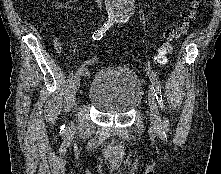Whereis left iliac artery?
<instances>
[{
	"label": "left iliac artery",
	"mask_w": 221,
	"mask_h": 174,
	"mask_svg": "<svg viewBox=\"0 0 221 174\" xmlns=\"http://www.w3.org/2000/svg\"><path fill=\"white\" fill-rule=\"evenodd\" d=\"M147 74H148L150 81L152 83L153 90H154V93L156 96V100L159 104V107L161 108L162 111H164L165 105H164V100H163V96H162V92H161V85H160L159 78L153 71H148ZM164 124H165V126L168 125L167 119L164 120Z\"/></svg>",
	"instance_id": "1"
}]
</instances>
